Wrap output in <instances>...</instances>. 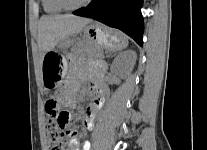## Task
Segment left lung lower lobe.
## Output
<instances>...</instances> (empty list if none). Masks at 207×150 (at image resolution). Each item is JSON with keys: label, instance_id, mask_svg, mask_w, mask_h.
<instances>
[{"label": "left lung lower lobe", "instance_id": "0a47b994", "mask_svg": "<svg viewBox=\"0 0 207 150\" xmlns=\"http://www.w3.org/2000/svg\"><path fill=\"white\" fill-rule=\"evenodd\" d=\"M142 5L143 0H94L73 13L118 28L142 46L144 31Z\"/></svg>", "mask_w": 207, "mask_h": 150}]
</instances>
